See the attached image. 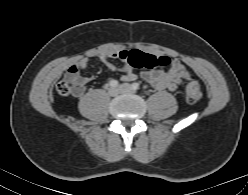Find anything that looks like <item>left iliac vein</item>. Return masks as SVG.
<instances>
[{
	"label": "left iliac vein",
	"instance_id": "1",
	"mask_svg": "<svg viewBox=\"0 0 248 195\" xmlns=\"http://www.w3.org/2000/svg\"><path fill=\"white\" fill-rule=\"evenodd\" d=\"M119 90L122 93H134V90H133L132 86L129 85V84H126V83L121 84L119 86Z\"/></svg>",
	"mask_w": 248,
	"mask_h": 195
}]
</instances>
